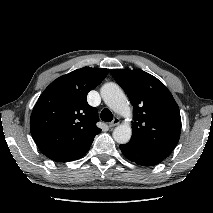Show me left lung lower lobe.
Segmentation results:
<instances>
[{
	"label": "left lung lower lobe",
	"mask_w": 213,
	"mask_h": 213,
	"mask_svg": "<svg viewBox=\"0 0 213 213\" xmlns=\"http://www.w3.org/2000/svg\"><path fill=\"white\" fill-rule=\"evenodd\" d=\"M120 149L126 158L141 166L157 165L166 158L163 155L141 150L130 143L120 145Z\"/></svg>",
	"instance_id": "obj_1"
}]
</instances>
